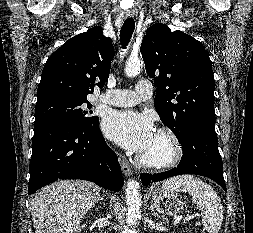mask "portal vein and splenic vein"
<instances>
[{
	"mask_svg": "<svg viewBox=\"0 0 253 233\" xmlns=\"http://www.w3.org/2000/svg\"><path fill=\"white\" fill-rule=\"evenodd\" d=\"M196 216H200V214L190 215V216H188V217H185V218H184V221L190 220V219H192V218H194V217H196ZM181 218H182V216H179V217L175 220L174 225H176V224L181 220Z\"/></svg>",
	"mask_w": 253,
	"mask_h": 233,
	"instance_id": "1",
	"label": "portal vein and splenic vein"
}]
</instances>
